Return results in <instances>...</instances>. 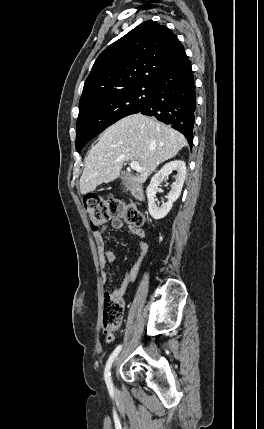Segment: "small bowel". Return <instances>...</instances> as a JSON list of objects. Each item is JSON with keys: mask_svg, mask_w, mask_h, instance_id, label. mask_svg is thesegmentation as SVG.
I'll return each mask as SVG.
<instances>
[{"mask_svg": "<svg viewBox=\"0 0 264 429\" xmlns=\"http://www.w3.org/2000/svg\"><path fill=\"white\" fill-rule=\"evenodd\" d=\"M111 226L113 229L119 230L124 227V222L121 219H114L111 222ZM131 231L134 234L139 236V250H140L139 257L137 261L134 263V265L128 267L127 270L125 271L122 277L120 286L114 292L117 295L124 294L129 283L136 278L141 262L148 251V243L145 240L144 231L133 227H131ZM95 240H96L97 249L99 253V263L102 268V277L106 281L107 275H106V272L104 271L105 266L107 263H113L116 259V255L111 249L106 247L102 233L95 234Z\"/></svg>", "mask_w": 264, "mask_h": 429, "instance_id": "obj_1", "label": "small bowel"}]
</instances>
